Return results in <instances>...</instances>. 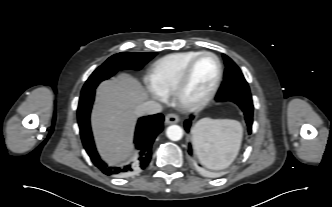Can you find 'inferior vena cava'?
Returning a JSON list of instances; mask_svg holds the SVG:
<instances>
[{"label":"inferior vena cava","instance_id":"602c4592","mask_svg":"<svg viewBox=\"0 0 332 207\" xmlns=\"http://www.w3.org/2000/svg\"><path fill=\"white\" fill-rule=\"evenodd\" d=\"M162 111V106L155 101H147L136 107L137 115H152Z\"/></svg>","mask_w":332,"mask_h":207}]
</instances>
